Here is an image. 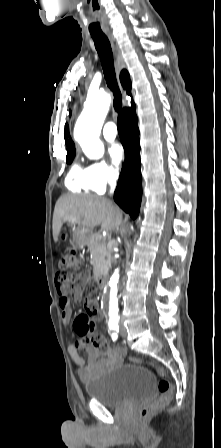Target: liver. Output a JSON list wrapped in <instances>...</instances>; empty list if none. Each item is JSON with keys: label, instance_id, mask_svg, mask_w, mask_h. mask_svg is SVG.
Here are the masks:
<instances>
[{"label": "liver", "instance_id": "1", "mask_svg": "<svg viewBox=\"0 0 221 448\" xmlns=\"http://www.w3.org/2000/svg\"><path fill=\"white\" fill-rule=\"evenodd\" d=\"M122 221L121 211L103 197L67 194L61 196L54 209L53 238L57 242L63 223L93 228L101 225L104 231L116 229Z\"/></svg>", "mask_w": 221, "mask_h": 448}]
</instances>
